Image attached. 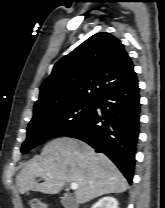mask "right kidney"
I'll use <instances>...</instances> for the list:
<instances>
[{
	"label": "right kidney",
	"instance_id": "ca27d5eb",
	"mask_svg": "<svg viewBox=\"0 0 165 208\" xmlns=\"http://www.w3.org/2000/svg\"><path fill=\"white\" fill-rule=\"evenodd\" d=\"M92 208H118V201L114 197H103Z\"/></svg>",
	"mask_w": 165,
	"mask_h": 208
}]
</instances>
